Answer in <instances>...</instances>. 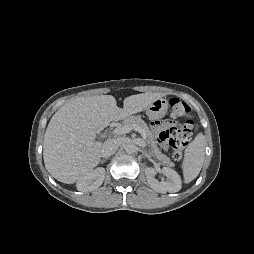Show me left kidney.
<instances>
[{
    "instance_id": "1",
    "label": "left kidney",
    "mask_w": 254,
    "mask_h": 254,
    "mask_svg": "<svg viewBox=\"0 0 254 254\" xmlns=\"http://www.w3.org/2000/svg\"><path fill=\"white\" fill-rule=\"evenodd\" d=\"M162 173L168 178V181L159 182L155 179V169L152 167L146 168L145 174L149 186L159 193L178 192L182 187L179 174L170 167H163Z\"/></svg>"
}]
</instances>
